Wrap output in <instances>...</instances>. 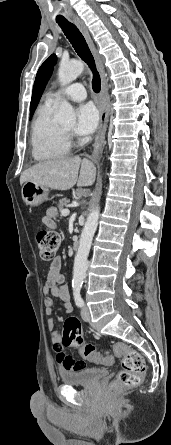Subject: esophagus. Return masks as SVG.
<instances>
[{"mask_svg":"<svg viewBox=\"0 0 171 445\" xmlns=\"http://www.w3.org/2000/svg\"><path fill=\"white\" fill-rule=\"evenodd\" d=\"M74 22L83 34L86 42L89 45V48L94 56L98 71L101 76V94H100V124H99V130L97 133V136L95 138V142L93 144V155L97 156L103 147V143L105 140V134L107 129V122H108V116H109V94H108V84H107V78L106 73L103 65V61L98 54V51L91 39V36L89 34V31L85 25V23L78 17H74Z\"/></svg>","mask_w":171,"mask_h":445,"instance_id":"1","label":"esophagus"}]
</instances>
